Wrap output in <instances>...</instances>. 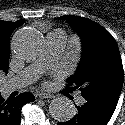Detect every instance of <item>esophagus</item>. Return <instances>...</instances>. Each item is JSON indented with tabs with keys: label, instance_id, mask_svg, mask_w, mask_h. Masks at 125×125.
Instances as JSON below:
<instances>
[{
	"label": "esophagus",
	"instance_id": "esophagus-1",
	"mask_svg": "<svg viewBox=\"0 0 125 125\" xmlns=\"http://www.w3.org/2000/svg\"><path fill=\"white\" fill-rule=\"evenodd\" d=\"M38 97L40 98V99H51V98H54V96L53 95H51V94H49V93H45V92H41V93H39L38 94Z\"/></svg>",
	"mask_w": 125,
	"mask_h": 125
}]
</instances>
